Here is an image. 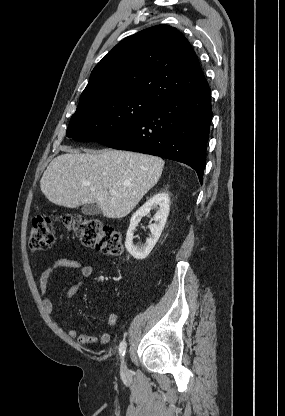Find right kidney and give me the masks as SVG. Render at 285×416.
<instances>
[{
  "instance_id": "right-kidney-1",
  "label": "right kidney",
  "mask_w": 285,
  "mask_h": 416,
  "mask_svg": "<svg viewBox=\"0 0 285 416\" xmlns=\"http://www.w3.org/2000/svg\"><path fill=\"white\" fill-rule=\"evenodd\" d=\"M169 202L170 198L168 194H166V192H159V194H156V196L147 200L146 204L141 206V208L133 214L130 220V226L127 230L125 248L127 252L133 256V258H136V260H145L151 250H153L156 242H158L169 214ZM153 208H156L157 212L154 216L155 224H150V226H148L151 236L150 238H147L144 246H134V230L136 226H138L139 222H141V218H143V216H147Z\"/></svg>"
}]
</instances>
